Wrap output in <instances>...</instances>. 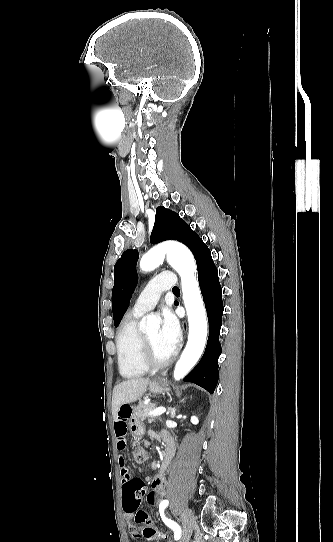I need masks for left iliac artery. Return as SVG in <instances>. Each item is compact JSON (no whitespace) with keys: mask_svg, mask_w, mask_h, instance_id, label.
I'll return each mask as SVG.
<instances>
[{"mask_svg":"<svg viewBox=\"0 0 333 542\" xmlns=\"http://www.w3.org/2000/svg\"><path fill=\"white\" fill-rule=\"evenodd\" d=\"M168 503H169L168 500H163L160 503V505H159L160 515H161L164 523L174 531L175 540H178L181 537V528H180V526L176 522L166 518L165 515H164V509L167 507Z\"/></svg>","mask_w":333,"mask_h":542,"instance_id":"44dca946","label":"left iliac artery"}]
</instances>
